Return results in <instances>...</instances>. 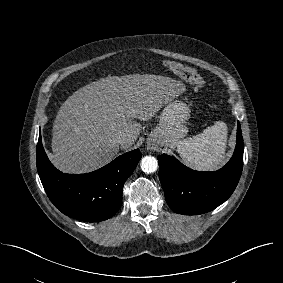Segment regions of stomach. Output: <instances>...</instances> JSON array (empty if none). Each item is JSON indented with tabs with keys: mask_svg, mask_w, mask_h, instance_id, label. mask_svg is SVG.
<instances>
[{
	"mask_svg": "<svg viewBox=\"0 0 283 283\" xmlns=\"http://www.w3.org/2000/svg\"><path fill=\"white\" fill-rule=\"evenodd\" d=\"M190 109L179 100L169 101L159 116V124L147 137V145L175 148L188 132Z\"/></svg>",
	"mask_w": 283,
	"mask_h": 283,
	"instance_id": "0dacf381",
	"label": "stomach"
}]
</instances>
